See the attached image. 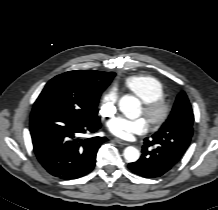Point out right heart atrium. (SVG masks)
I'll use <instances>...</instances> for the list:
<instances>
[{
  "label": "right heart atrium",
  "mask_w": 218,
  "mask_h": 210,
  "mask_svg": "<svg viewBox=\"0 0 218 210\" xmlns=\"http://www.w3.org/2000/svg\"><path fill=\"white\" fill-rule=\"evenodd\" d=\"M117 93L114 90L107 92L102 98L100 112L102 115L110 117L116 112Z\"/></svg>",
  "instance_id": "obj_1"
}]
</instances>
